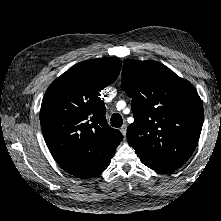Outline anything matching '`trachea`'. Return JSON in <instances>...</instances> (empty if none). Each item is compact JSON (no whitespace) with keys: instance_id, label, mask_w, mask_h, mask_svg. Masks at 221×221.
<instances>
[{"instance_id":"3493384b","label":"trachea","mask_w":221,"mask_h":221,"mask_svg":"<svg viewBox=\"0 0 221 221\" xmlns=\"http://www.w3.org/2000/svg\"><path fill=\"white\" fill-rule=\"evenodd\" d=\"M111 125L113 127H116V128H119L122 126L123 124V119H122V116L118 113H114L112 116H111Z\"/></svg>"}]
</instances>
